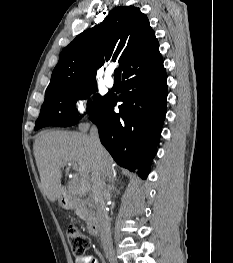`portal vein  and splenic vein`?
<instances>
[{
	"label": "portal vein and splenic vein",
	"mask_w": 233,
	"mask_h": 263,
	"mask_svg": "<svg viewBox=\"0 0 233 263\" xmlns=\"http://www.w3.org/2000/svg\"><path fill=\"white\" fill-rule=\"evenodd\" d=\"M74 169H77V166L76 165H73Z\"/></svg>",
	"instance_id": "1"
}]
</instances>
